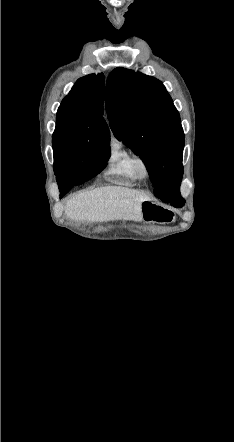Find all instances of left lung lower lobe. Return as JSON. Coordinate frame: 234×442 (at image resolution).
<instances>
[{"instance_id": "1", "label": "left lung lower lobe", "mask_w": 234, "mask_h": 442, "mask_svg": "<svg viewBox=\"0 0 234 442\" xmlns=\"http://www.w3.org/2000/svg\"><path fill=\"white\" fill-rule=\"evenodd\" d=\"M163 201V200H162ZM170 202H167V201H164V202H167V203H170L171 205H173L174 207H181V206H183L184 205V203H185V201H184V199H182V197H180V198H178V199H175V200H169Z\"/></svg>"}]
</instances>
